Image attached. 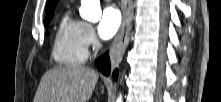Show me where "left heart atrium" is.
<instances>
[{
	"label": "left heart atrium",
	"mask_w": 221,
	"mask_h": 102,
	"mask_svg": "<svg viewBox=\"0 0 221 102\" xmlns=\"http://www.w3.org/2000/svg\"><path fill=\"white\" fill-rule=\"evenodd\" d=\"M122 25L121 12L115 6L106 7L98 25L99 36L104 39L113 37Z\"/></svg>",
	"instance_id": "1"
}]
</instances>
